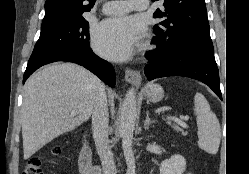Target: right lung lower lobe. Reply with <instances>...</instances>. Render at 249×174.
I'll return each instance as SVG.
<instances>
[{"label": "right lung lower lobe", "instance_id": "98d812e1", "mask_svg": "<svg viewBox=\"0 0 249 174\" xmlns=\"http://www.w3.org/2000/svg\"><path fill=\"white\" fill-rule=\"evenodd\" d=\"M68 61L74 62L87 68L110 87L115 86V71L110 63L95 55L91 48L70 51V50H54L47 51L30 57L28 65L23 77V83L27 78L39 67L56 62Z\"/></svg>", "mask_w": 249, "mask_h": 174}]
</instances>
